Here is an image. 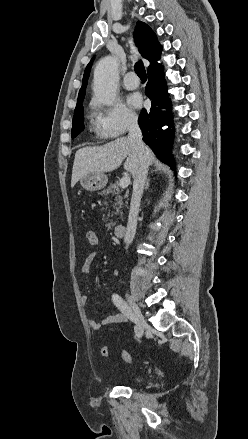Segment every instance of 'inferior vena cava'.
<instances>
[{
  "instance_id": "602c4592",
  "label": "inferior vena cava",
  "mask_w": 248,
  "mask_h": 439,
  "mask_svg": "<svg viewBox=\"0 0 248 439\" xmlns=\"http://www.w3.org/2000/svg\"><path fill=\"white\" fill-rule=\"evenodd\" d=\"M128 138L134 142L138 150L139 162L138 167L133 175V192L130 204L127 230L124 237V242L127 247L132 243L136 233L137 217L149 166L145 145L142 141V131L138 125L136 117H131L129 119Z\"/></svg>"
}]
</instances>
